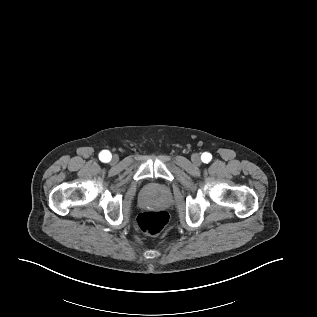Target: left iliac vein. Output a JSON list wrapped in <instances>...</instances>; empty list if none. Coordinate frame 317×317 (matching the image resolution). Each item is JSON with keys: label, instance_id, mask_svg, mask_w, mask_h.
Returning a JSON list of instances; mask_svg holds the SVG:
<instances>
[{"label": "left iliac vein", "instance_id": "left-iliac-vein-1", "mask_svg": "<svg viewBox=\"0 0 317 317\" xmlns=\"http://www.w3.org/2000/svg\"><path fill=\"white\" fill-rule=\"evenodd\" d=\"M191 160L195 165H200L201 163L200 156L197 153L192 154Z\"/></svg>", "mask_w": 317, "mask_h": 317}]
</instances>
